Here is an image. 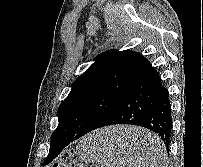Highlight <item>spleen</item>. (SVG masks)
Wrapping results in <instances>:
<instances>
[{
    "instance_id": "obj_1",
    "label": "spleen",
    "mask_w": 203,
    "mask_h": 167,
    "mask_svg": "<svg viewBox=\"0 0 203 167\" xmlns=\"http://www.w3.org/2000/svg\"><path fill=\"white\" fill-rule=\"evenodd\" d=\"M113 143L109 133L101 130L84 137L78 149L81 154L89 156L104 167H168L165 146L158 137L152 134L142 145V157L134 165L115 158Z\"/></svg>"
}]
</instances>
